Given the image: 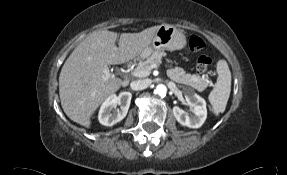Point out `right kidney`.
I'll list each match as a JSON object with an SVG mask.
<instances>
[{"instance_id": "obj_1", "label": "right kidney", "mask_w": 287, "mask_h": 175, "mask_svg": "<svg viewBox=\"0 0 287 175\" xmlns=\"http://www.w3.org/2000/svg\"><path fill=\"white\" fill-rule=\"evenodd\" d=\"M132 94L130 92H121L118 96L115 94L110 95L102 103L98 120L102 125L113 126L118 123L127 115ZM117 105L120 108L116 109Z\"/></svg>"}]
</instances>
